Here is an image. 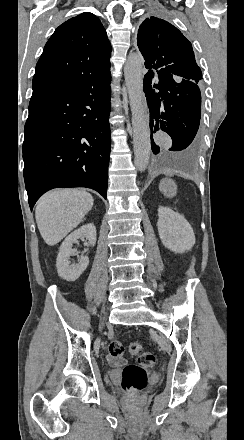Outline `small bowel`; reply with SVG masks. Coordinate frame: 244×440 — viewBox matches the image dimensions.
<instances>
[{"label":"small bowel","mask_w":244,"mask_h":440,"mask_svg":"<svg viewBox=\"0 0 244 440\" xmlns=\"http://www.w3.org/2000/svg\"><path fill=\"white\" fill-rule=\"evenodd\" d=\"M113 364L115 366H122L124 364L123 360H113Z\"/></svg>","instance_id":"obj_1"}]
</instances>
